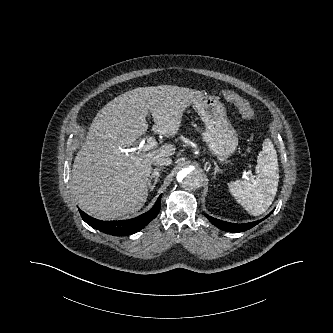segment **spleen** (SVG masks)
I'll list each match as a JSON object with an SVG mask.
<instances>
[{
  "label": "spleen",
  "mask_w": 333,
  "mask_h": 333,
  "mask_svg": "<svg viewBox=\"0 0 333 333\" xmlns=\"http://www.w3.org/2000/svg\"><path fill=\"white\" fill-rule=\"evenodd\" d=\"M254 182L236 180L228 184L229 191L248 213L257 216L264 213L273 203L279 183L276 150L270 139L263 143L256 166Z\"/></svg>",
  "instance_id": "spleen-1"
}]
</instances>
